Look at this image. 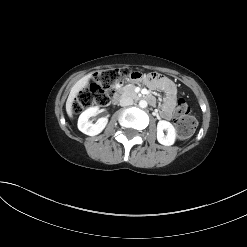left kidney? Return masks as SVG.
Returning a JSON list of instances; mask_svg holds the SVG:
<instances>
[{
  "mask_svg": "<svg viewBox=\"0 0 247 247\" xmlns=\"http://www.w3.org/2000/svg\"><path fill=\"white\" fill-rule=\"evenodd\" d=\"M163 130L167 131V135H164ZM176 139V131L174 126L168 122L161 120L157 124V140L160 144L165 146L173 145Z\"/></svg>",
  "mask_w": 247,
  "mask_h": 247,
  "instance_id": "5707ae66",
  "label": "left kidney"
}]
</instances>
